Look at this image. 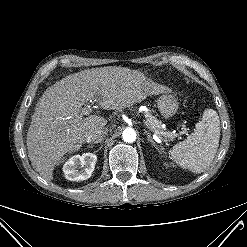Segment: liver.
Instances as JSON below:
<instances>
[{
  "label": "liver",
  "mask_w": 247,
  "mask_h": 247,
  "mask_svg": "<svg viewBox=\"0 0 247 247\" xmlns=\"http://www.w3.org/2000/svg\"><path fill=\"white\" fill-rule=\"evenodd\" d=\"M171 92L137 71L123 67L93 68L71 74L48 87L39 99L27 132L28 157L45 180L67 153L78 151L93 131L104 128L101 115L80 118L81 107L94 100L120 110L150 95Z\"/></svg>",
  "instance_id": "1"
}]
</instances>
